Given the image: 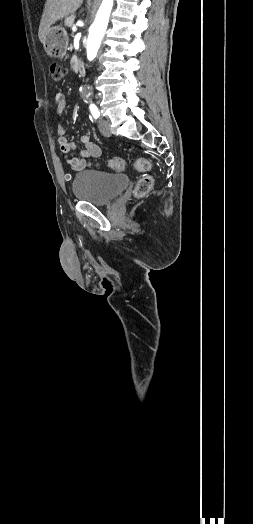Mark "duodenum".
<instances>
[{
  "label": "duodenum",
  "mask_w": 253,
  "mask_h": 524,
  "mask_svg": "<svg viewBox=\"0 0 253 524\" xmlns=\"http://www.w3.org/2000/svg\"><path fill=\"white\" fill-rule=\"evenodd\" d=\"M85 71V64L82 62H79L77 64V73L82 74Z\"/></svg>",
  "instance_id": "duodenum-1"
}]
</instances>
